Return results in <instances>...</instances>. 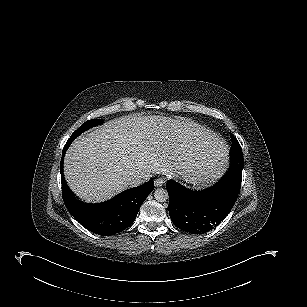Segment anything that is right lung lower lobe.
Here are the masks:
<instances>
[{
	"label": "right lung lower lobe",
	"mask_w": 307,
	"mask_h": 307,
	"mask_svg": "<svg viewBox=\"0 0 307 307\" xmlns=\"http://www.w3.org/2000/svg\"><path fill=\"white\" fill-rule=\"evenodd\" d=\"M69 145L66 143L63 148L60 172L63 198L70 214L86 229L102 236H110L128 228L144 200L153 191L154 181L123 191L103 203L81 202L73 197L63 177V158Z\"/></svg>",
	"instance_id": "98d812e1"
}]
</instances>
